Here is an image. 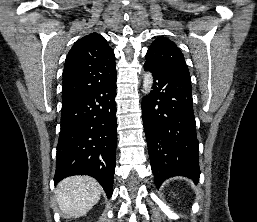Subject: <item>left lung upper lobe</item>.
I'll return each instance as SVG.
<instances>
[{"instance_id": "left-lung-upper-lobe-1", "label": "left lung upper lobe", "mask_w": 257, "mask_h": 222, "mask_svg": "<svg viewBox=\"0 0 257 222\" xmlns=\"http://www.w3.org/2000/svg\"><path fill=\"white\" fill-rule=\"evenodd\" d=\"M146 62L164 68L191 82L182 52L174 42L165 37H159L151 44L146 54Z\"/></svg>"}]
</instances>
